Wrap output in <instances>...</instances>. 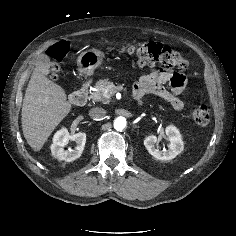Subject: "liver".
<instances>
[{
	"label": "liver",
	"instance_id": "1",
	"mask_svg": "<svg viewBox=\"0 0 236 236\" xmlns=\"http://www.w3.org/2000/svg\"><path fill=\"white\" fill-rule=\"evenodd\" d=\"M36 63L22 105L23 135L34 151H40L58 124L71 111L66 93L49 80Z\"/></svg>",
	"mask_w": 236,
	"mask_h": 236
}]
</instances>
